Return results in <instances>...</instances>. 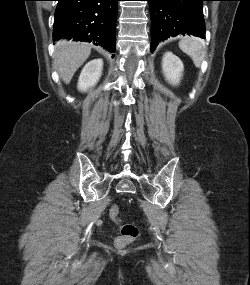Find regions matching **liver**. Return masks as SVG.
<instances>
[{
	"label": "liver",
	"instance_id": "6515ba94",
	"mask_svg": "<svg viewBox=\"0 0 250 285\" xmlns=\"http://www.w3.org/2000/svg\"><path fill=\"white\" fill-rule=\"evenodd\" d=\"M91 46L87 43L62 40L55 49V65L62 80L68 84L77 69L87 60Z\"/></svg>",
	"mask_w": 250,
	"mask_h": 285
}]
</instances>
